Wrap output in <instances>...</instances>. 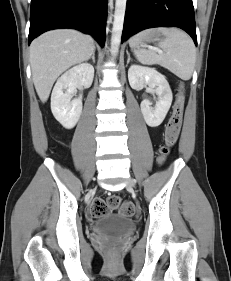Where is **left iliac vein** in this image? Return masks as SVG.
Here are the masks:
<instances>
[{
  "mask_svg": "<svg viewBox=\"0 0 231 281\" xmlns=\"http://www.w3.org/2000/svg\"><path fill=\"white\" fill-rule=\"evenodd\" d=\"M135 185L134 181L133 180H130L129 181V186L133 187Z\"/></svg>",
  "mask_w": 231,
  "mask_h": 281,
  "instance_id": "4c4485c4",
  "label": "left iliac vein"
}]
</instances>
